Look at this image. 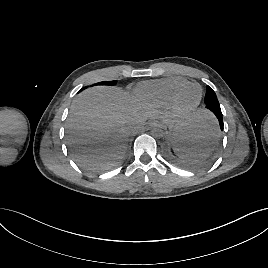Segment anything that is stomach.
<instances>
[{
  "mask_svg": "<svg viewBox=\"0 0 268 268\" xmlns=\"http://www.w3.org/2000/svg\"><path fill=\"white\" fill-rule=\"evenodd\" d=\"M192 126L185 123H176L170 127L169 136L173 141L174 148L189 147L188 139L191 135Z\"/></svg>",
  "mask_w": 268,
  "mask_h": 268,
  "instance_id": "obj_1",
  "label": "stomach"
}]
</instances>
